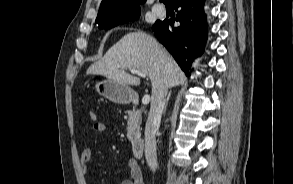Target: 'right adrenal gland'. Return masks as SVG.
<instances>
[{"mask_svg":"<svg viewBox=\"0 0 293 184\" xmlns=\"http://www.w3.org/2000/svg\"><path fill=\"white\" fill-rule=\"evenodd\" d=\"M170 95H171V92H169V94H168V96H167V99H166V105H165V108H164V112L166 111V107H167V105H168V101H169Z\"/></svg>","mask_w":293,"mask_h":184,"instance_id":"1","label":"right adrenal gland"}]
</instances>
